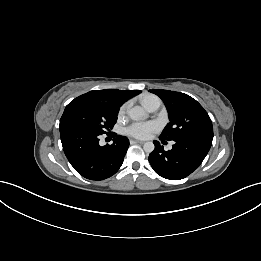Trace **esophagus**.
Here are the masks:
<instances>
[{
	"label": "esophagus",
	"mask_w": 261,
	"mask_h": 261,
	"mask_svg": "<svg viewBox=\"0 0 261 261\" xmlns=\"http://www.w3.org/2000/svg\"><path fill=\"white\" fill-rule=\"evenodd\" d=\"M131 143H138V144H143L144 141H140V140H131Z\"/></svg>",
	"instance_id": "esophagus-1"
}]
</instances>
